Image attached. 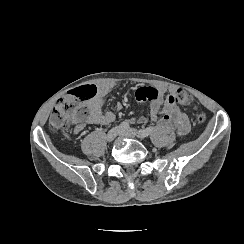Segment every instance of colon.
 I'll use <instances>...</instances> for the list:
<instances>
[{
    "instance_id": "1",
    "label": "colon",
    "mask_w": 244,
    "mask_h": 244,
    "mask_svg": "<svg viewBox=\"0 0 244 244\" xmlns=\"http://www.w3.org/2000/svg\"><path fill=\"white\" fill-rule=\"evenodd\" d=\"M98 93V88L95 85L80 86L72 91V96L75 99H81L87 96H95ZM70 96L60 98L54 107L53 113L50 117V126L53 129H63L79 120L82 115V111L74 103V99ZM172 103L187 106L193 102L191 94L183 89L176 90L170 96ZM206 121L204 112L198 111L194 114L195 124H203Z\"/></svg>"
}]
</instances>
